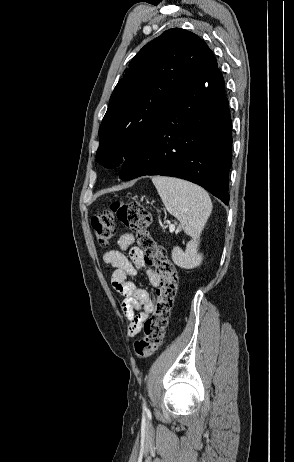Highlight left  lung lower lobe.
<instances>
[{
  "mask_svg": "<svg viewBox=\"0 0 294 462\" xmlns=\"http://www.w3.org/2000/svg\"><path fill=\"white\" fill-rule=\"evenodd\" d=\"M231 132L224 80L216 68L178 94L124 161L120 179L178 177L202 186L228 205Z\"/></svg>",
  "mask_w": 294,
  "mask_h": 462,
  "instance_id": "0a47b994",
  "label": "left lung lower lobe"
}]
</instances>
